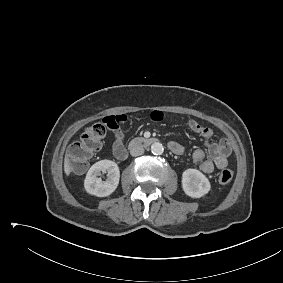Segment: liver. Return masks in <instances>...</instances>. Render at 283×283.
Masks as SVG:
<instances>
[{
  "label": "liver",
  "instance_id": "liver-1",
  "mask_svg": "<svg viewBox=\"0 0 283 283\" xmlns=\"http://www.w3.org/2000/svg\"><path fill=\"white\" fill-rule=\"evenodd\" d=\"M64 171H65L67 176H69L70 173H71L70 161H69V158L67 156L64 159Z\"/></svg>",
  "mask_w": 283,
  "mask_h": 283
}]
</instances>
